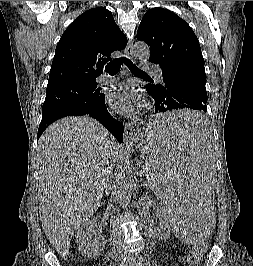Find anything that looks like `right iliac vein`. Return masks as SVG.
<instances>
[{
  "label": "right iliac vein",
  "instance_id": "right-iliac-vein-1",
  "mask_svg": "<svg viewBox=\"0 0 253 266\" xmlns=\"http://www.w3.org/2000/svg\"><path fill=\"white\" fill-rule=\"evenodd\" d=\"M116 260H117V262H121L123 260V258L122 257H117Z\"/></svg>",
  "mask_w": 253,
  "mask_h": 266
}]
</instances>
